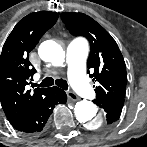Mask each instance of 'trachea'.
<instances>
[{"mask_svg": "<svg viewBox=\"0 0 147 147\" xmlns=\"http://www.w3.org/2000/svg\"><path fill=\"white\" fill-rule=\"evenodd\" d=\"M54 83H55L58 87H60V88H62V89H64V90H67V89H68V84H67V82H66L65 80H63V79H56V80H54L52 77H46V78L39 84V86H40V87H49V86L54 85ZM32 85H33V87L37 86L36 83H33Z\"/></svg>", "mask_w": 147, "mask_h": 147, "instance_id": "obj_1", "label": "trachea"}]
</instances>
